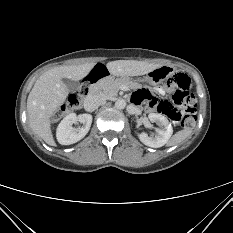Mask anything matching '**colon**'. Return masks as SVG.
<instances>
[{
	"label": "colon",
	"instance_id": "5ec220e1",
	"mask_svg": "<svg viewBox=\"0 0 233 233\" xmlns=\"http://www.w3.org/2000/svg\"><path fill=\"white\" fill-rule=\"evenodd\" d=\"M168 87L174 88L172 103L168 101H158L155 98L151 99V106L169 117L174 122L178 123L183 128H191L196 120V99L188 92L190 80L183 73L174 74L167 82ZM82 89L76 94H72L67 102L62 106L61 112L56 115L59 117L62 113L77 110L81 107L85 95L82 94Z\"/></svg>",
	"mask_w": 233,
	"mask_h": 233
}]
</instances>
